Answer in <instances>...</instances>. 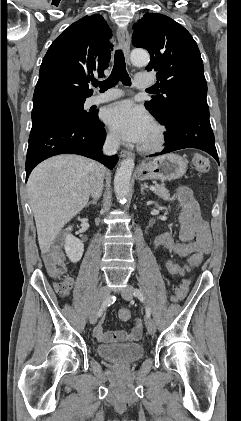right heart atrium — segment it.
<instances>
[{
    "instance_id": "d8ad5b80",
    "label": "right heart atrium",
    "mask_w": 241,
    "mask_h": 421,
    "mask_svg": "<svg viewBox=\"0 0 241 421\" xmlns=\"http://www.w3.org/2000/svg\"><path fill=\"white\" fill-rule=\"evenodd\" d=\"M107 142L110 145L115 146V145L118 144V139H117L116 135H114L113 133H108V135H107Z\"/></svg>"
}]
</instances>
